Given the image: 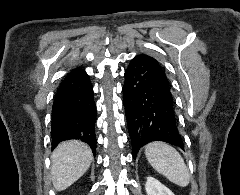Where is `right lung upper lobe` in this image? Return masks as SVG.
Instances as JSON below:
<instances>
[{
  "mask_svg": "<svg viewBox=\"0 0 240 195\" xmlns=\"http://www.w3.org/2000/svg\"><path fill=\"white\" fill-rule=\"evenodd\" d=\"M81 71H83V70L77 68V69H74L73 71H71L68 75H73V74L79 73V72H81Z\"/></svg>",
  "mask_w": 240,
  "mask_h": 195,
  "instance_id": "1",
  "label": "right lung upper lobe"
}]
</instances>
